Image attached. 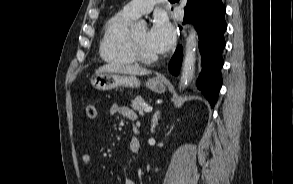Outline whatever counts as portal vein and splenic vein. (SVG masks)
Masks as SVG:
<instances>
[{"label":"portal vein and splenic vein","instance_id":"obj_1","mask_svg":"<svg viewBox=\"0 0 293 184\" xmlns=\"http://www.w3.org/2000/svg\"><path fill=\"white\" fill-rule=\"evenodd\" d=\"M152 109H153L152 107L146 106V107H144V112L150 113L152 111Z\"/></svg>","mask_w":293,"mask_h":184}]
</instances>
